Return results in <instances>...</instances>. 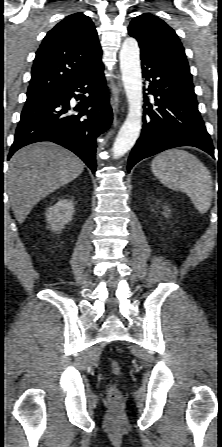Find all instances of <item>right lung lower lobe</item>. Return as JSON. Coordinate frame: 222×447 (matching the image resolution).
Wrapping results in <instances>:
<instances>
[{"label":"right lung lower lobe","instance_id":"right-lung-lower-lobe-1","mask_svg":"<svg viewBox=\"0 0 222 447\" xmlns=\"http://www.w3.org/2000/svg\"><path fill=\"white\" fill-rule=\"evenodd\" d=\"M103 70L101 62L47 101L24 108L8 159L23 146L51 141L74 152L95 173L96 138L108 129L112 121ZM75 91L89 96L76 95ZM73 97L80 100L75 108L70 106ZM89 107L92 109L88 110Z\"/></svg>","mask_w":222,"mask_h":447}]
</instances>
